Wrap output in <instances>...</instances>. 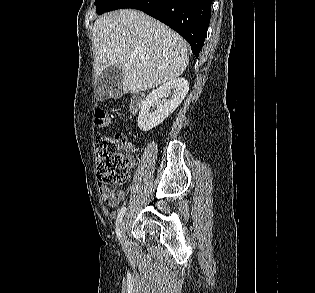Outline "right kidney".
Wrapping results in <instances>:
<instances>
[{
  "label": "right kidney",
  "mask_w": 315,
  "mask_h": 293,
  "mask_svg": "<svg viewBox=\"0 0 315 293\" xmlns=\"http://www.w3.org/2000/svg\"><path fill=\"white\" fill-rule=\"evenodd\" d=\"M188 90V81L185 78H177L149 93L139 112V129L146 132L161 124L181 104ZM154 105L157 107L153 111Z\"/></svg>",
  "instance_id": "1"
}]
</instances>
